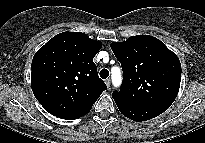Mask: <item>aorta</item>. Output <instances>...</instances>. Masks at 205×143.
Here are the masks:
<instances>
[{
	"instance_id": "1",
	"label": "aorta",
	"mask_w": 205,
	"mask_h": 143,
	"mask_svg": "<svg viewBox=\"0 0 205 143\" xmlns=\"http://www.w3.org/2000/svg\"><path fill=\"white\" fill-rule=\"evenodd\" d=\"M111 73H112V83L114 87H119L122 83V76H121L120 68L117 66L112 67Z\"/></svg>"
}]
</instances>
